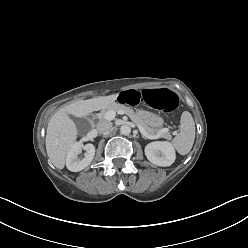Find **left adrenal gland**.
<instances>
[{
    "mask_svg": "<svg viewBox=\"0 0 248 248\" xmlns=\"http://www.w3.org/2000/svg\"><path fill=\"white\" fill-rule=\"evenodd\" d=\"M142 137L145 139V138H147L146 136H144L143 134H142Z\"/></svg>",
    "mask_w": 248,
    "mask_h": 248,
    "instance_id": "a2214340",
    "label": "left adrenal gland"
}]
</instances>
